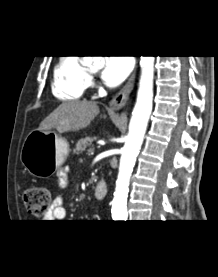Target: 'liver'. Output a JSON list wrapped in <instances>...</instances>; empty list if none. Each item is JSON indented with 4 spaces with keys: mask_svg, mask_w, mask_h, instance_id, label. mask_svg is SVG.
I'll return each instance as SVG.
<instances>
[{
    "mask_svg": "<svg viewBox=\"0 0 218 277\" xmlns=\"http://www.w3.org/2000/svg\"><path fill=\"white\" fill-rule=\"evenodd\" d=\"M99 114L95 102L66 101L60 104L39 125V131L56 129L60 133L75 132L86 128Z\"/></svg>",
    "mask_w": 218,
    "mask_h": 277,
    "instance_id": "6515ba94",
    "label": "liver"
}]
</instances>
